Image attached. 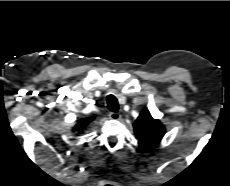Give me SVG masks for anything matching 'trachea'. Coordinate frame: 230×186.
<instances>
[{
  "label": "trachea",
  "instance_id": "trachea-1",
  "mask_svg": "<svg viewBox=\"0 0 230 186\" xmlns=\"http://www.w3.org/2000/svg\"><path fill=\"white\" fill-rule=\"evenodd\" d=\"M106 101H107V107L110 111L112 112L118 111L119 109L118 100L114 95H108Z\"/></svg>",
  "mask_w": 230,
  "mask_h": 186
}]
</instances>
